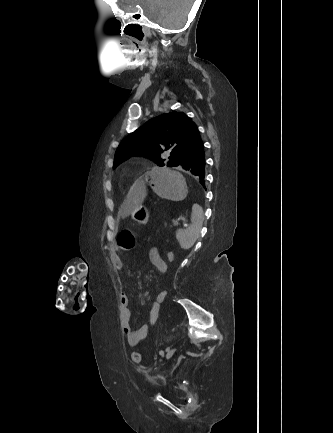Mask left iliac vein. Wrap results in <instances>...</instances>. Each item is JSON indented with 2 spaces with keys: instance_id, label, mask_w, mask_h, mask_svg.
<instances>
[{
  "instance_id": "4c4485c4",
  "label": "left iliac vein",
  "mask_w": 333,
  "mask_h": 433,
  "mask_svg": "<svg viewBox=\"0 0 333 433\" xmlns=\"http://www.w3.org/2000/svg\"><path fill=\"white\" fill-rule=\"evenodd\" d=\"M174 352H175V348L169 350L166 354V359H170L173 356Z\"/></svg>"
}]
</instances>
